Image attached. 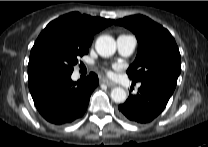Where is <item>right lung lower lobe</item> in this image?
Returning a JSON list of instances; mask_svg holds the SVG:
<instances>
[{"label": "right lung lower lobe", "instance_id": "98d812e1", "mask_svg": "<svg viewBox=\"0 0 208 147\" xmlns=\"http://www.w3.org/2000/svg\"><path fill=\"white\" fill-rule=\"evenodd\" d=\"M29 90L40 114L54 124L71 123L85 113L98 76L72 81L71 73H39L30 78Z\"/></svg>", "mask_w": 208, "mask_h": 147}]
</instances>
